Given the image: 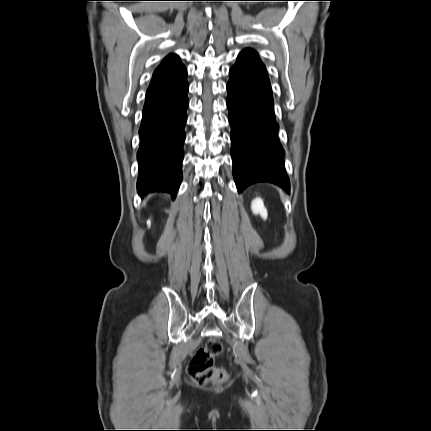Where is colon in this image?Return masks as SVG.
Wrapping results in <instances>:
<instances>
[{
    "instance_id": "5ec220e1",
    "label": "colon",
    "mask_w": 431,
    "mask_h": 431,
    "mask_svg": "<svg viewBox=\"0 0 431 431\" xmlns=\"http://www.w3.org/2000/svg\"><path fill=\"white\" fill-rule=\"evenodd\" d=\"M222 349L219 340L209 339L196 351L187 367V373L197 385L202 386L208 382L220 384L227 379L226 371L214 365V359Z\"/></svg>"
}]
</instances>
